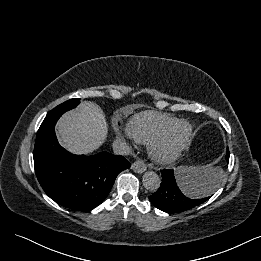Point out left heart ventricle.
<instances>
[{
    "label": "left heart ventricle",
    "instance_id": "b2bd125f",
    "mask_svg": "<svg viewBox=\"0 0 261 261\" xmlns=\"http://www.w3.org/2000/svg\"><path fill=\"white\" fill-rule=\"evenodd\" d=\"M186 132H187V127L180 126L174 133L173 137L171 138L169 145L172 146L180 142L184 138Z\"/></svg>",
    "mask_w": 261,
    "mask_h": 261
}]
</instances>
